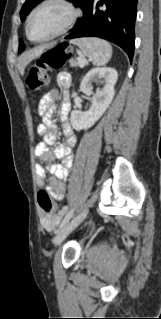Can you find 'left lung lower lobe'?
Listing matches in <instances>:
<instances>
[{
    "mask_svg": "<svg viewBox=\"0 0 161 319\" xmlns=\"http://www.w3.org/2000/svg\"><path fill=\"white\" fill-rule=\"evenodd\" d=\"M138 0H89L83 18L65 39L99 37L134 54L135 20Z\"/></svg>",
    "mask_w": 161,
    "mask_h": 319,
    "instance_id": "left-lung-lower-lobe-1",
    "label": "left lung lower lobe"
}]
</instances>
